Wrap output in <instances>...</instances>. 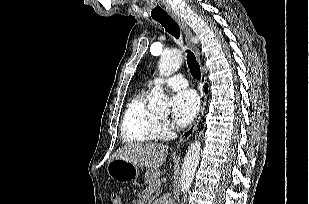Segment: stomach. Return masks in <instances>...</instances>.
<instances>
[{
	"instance_id": "1",
	"label": "stomach",
	"mask_w": 309,
	"mask_h": 204,
	"mask_svg": "<svg viewBox=\"0 0 309 204\" xmlns=\"http://www.w3.org/2000/svg\"><path fill=\"white\" fill-rule=\"evenodd\" d=\"M107 173L110 178L120 183H130L139 177L137 165L121 159H114L107 164Z\"/></svg>"
}]
</instances>
